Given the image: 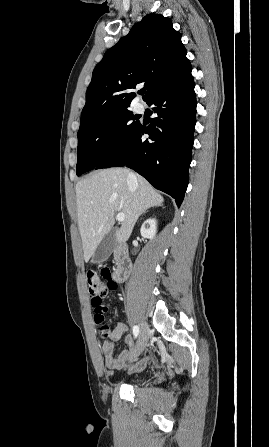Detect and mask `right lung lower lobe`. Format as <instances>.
<instances>
[{
    "label": "right lung lower lobe",
    "mask_w": 269,
    "mask_h": 447,
    "mask_svg": "<svg viewBox=\"0 0 269 447\" xmlns=\"http://www.w3.org/2000/svg\"><path fill=\"white\" fill-rule=\"evenodd\" d=\"M190 62L173 78L158 86L146 100L157 117L136 129L123 145L95 169L127 166L155 188L171 195L180 207L188 185L196 95ZM149 135V139L144 138Z\"/></svg>",
    "instance_id": "98d812e1"
}]
</instances>
